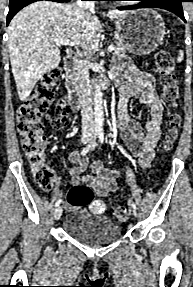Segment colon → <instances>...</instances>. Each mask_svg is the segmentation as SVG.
<instances>
[{"mask_svg": "<svg viewBox=\"0 0 193 287\" xmlns=\"http://www.w3.org/2000/svg\"><path fill=\"white\" fill-rule=\"evenodd\" d=\"M156 69L159 74L160 85L165 99L171 104L173 112L169 116V127L165 134L163 149L170 151L178 137V128L181 116L176 111L178 107L179 87L175 73V62L167 51H160L156 55ZM61 72L53 68L46 72L37 83L32 94L17 111L18 132L22 148L33 172V178L42 191L52 189L56 177L46 161L47 140L43 133L41 118L49 112L54 96V87L60 78ZM55 116L51 124L55 128L65 126L70 118L65 99H60L54 106ZM94 198L92 188L78 184L70 188L67 202L72 207H81L89 204ZM114 216L119 221H125L129 211L125 206L114 209Z\"/></svg>", "mask_w": 193, "mask_h": 287, "instance_id": "5ec220e1", "label": "colon"}]
</instances>
